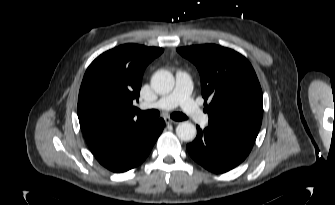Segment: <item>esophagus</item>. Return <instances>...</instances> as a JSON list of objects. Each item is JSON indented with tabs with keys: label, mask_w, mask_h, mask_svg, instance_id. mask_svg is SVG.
I'll use <instances>...</instances> for the list:
<instances>
[{
	"label": "esophagus",
	"mask_w": 335,
	"mask_h": 205,
	"mask_svg": "<svg viewBox=\"0 0 335 205\" xmlns=\"http://www.w3.org/2000/svg\"><path fill=\"white\" fill-rule=\"evenodd\" d=\"M166 124H177L178 122L171 119L170 117H165L164 118Z\"/></svg>",
	"instance_id": "esophagus-1"
}]
</instances>
